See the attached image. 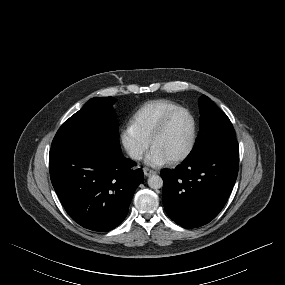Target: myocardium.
Returning a JSON list of instances; mask_svg holds the SVG:
<instances>
[{
  "instance_id": "obj_1",
  "label": "myocardium",
  "mask_w": 285,
  "mask_h": 285,
  "mask_svg": "<svg viewBox=\"0 0 285 285\" xmlns=\"http://www.w3.org/2000/svg\"><path fill=\"white\" fill-rule=\"evenodd\" d=\"M180 111L185 112L191 120V136H190V141H189V144H188V147L186 148V150L180 156H178L174 159L168 160V163L170 165L180 164L181 162L186 160L194 150V147H195L196 141H197V122H196V118L193 115V113L188 108L180 106V105L169 110L160 119V121L158 122L157 126L155 127V129L152 132L150 139H149L150 145H151V147H153L155 140L164 132V130H165L169 120L171 119V117L175 113L180 112Z\"/></svg>"
}]
</instances>
